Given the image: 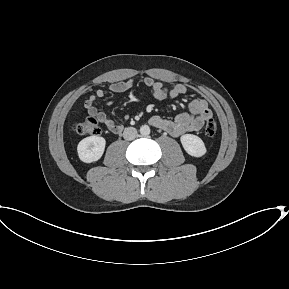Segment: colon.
I'll return each instance as SVG.
<instances>
[{
    "label": "colon",
    "instance_id": "5ec220e1",
    "mask_svg": "<svg viewBox=\"0 0 289 289\" xmlns=\"http://www.w3.org/2000/svg\"><path fill=\"white\" fill-rule=\"evenodd\" d=\"M74 130L82 136H94L100 133L97 120L93 117L87 118L81 122L75 123ZM217 132V123L213 119H209L204 127V134L207 138H212Z\"/></svg>",
    "mask_w": 289,
    "mask_h": 289
}]
</instances>
